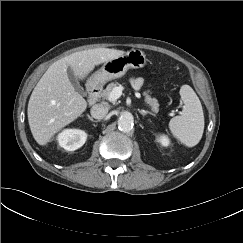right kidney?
I'll return each instance as SVG.
<instances>
[{
    "label": "right kidney",
    "mask_w": 243,
    "mask_h": 243,
    "mask_svg": "<svg viewBox=\"0 0 243 243\" xmlns=\"http://www.w3.org/2000/svg\"><path fill=\"white\" fill-rule=\"evenodd\" d=\"M87 134L79 129H65L57 136L61 147L67 151H74L82 147L86 141Z\"/></svg>",
    "instance_id": "obj_1"
}]
</instances>
